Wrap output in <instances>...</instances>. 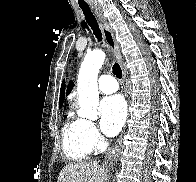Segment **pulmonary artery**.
I'll list each match as a JSON object with an SVG mask.
<instances>
[{
	"mask_svg": "<svg viewBox=\"0 0 196 182\" xmlns=\"http://www.w3.org/2000/svg\"><path fill=\"white\" fill-rule=\"evenodd\" d=\"M98 89L105 94H111L118 89L116 79L111 75H103L98 80Z\"/></svg>",
	"mask_w": 196,
	"mask_h": 182,
	"instance_id": "1",
	"label": "pulmonary artery"
}]
</instances>
